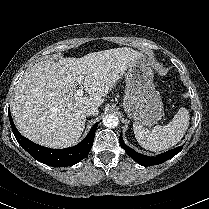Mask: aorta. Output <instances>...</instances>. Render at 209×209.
Instances as JSON below:
<instances>
[{
    "instance_id": "762f6f07",
    "label": "aorta",
    "mask_w": 209,
    "mask_h": 209,
    "mask_svg": "<svg viewBox=\"0 0 209 209\" xmlns=\"http://www.w3.org/2000/svg\"><path fill=\"white\" fill-rule=\"evenodd\" d=\"M102 122H103V125L107 128H115L119 124V118L115 114H109L103 118Z\"/></svg>"
}]
</instances>
